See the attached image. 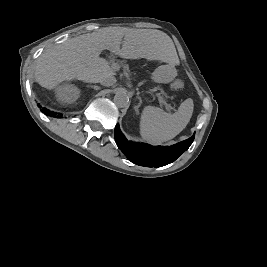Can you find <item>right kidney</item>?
Listing matches in <instances>:
<instances>
[{
  "instance_id": "right-kidney-1",
  "label": "right kidney",
  "mask_w": 267,
  "mask_h": 267,
  "mask_svg": "<svg viewBox=\"0 0 267 267\" xmlns=\"http://www.w3.org/2000/svg\"><path fill=\"white\" fill-rule=\"evenodd\" d=\"M80 91L74 85H61L57 88V96L60 101L72 103L78 99Z\"/></svg>"
}]
</instances>
